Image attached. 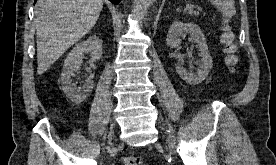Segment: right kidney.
<instances>
[{"label":"right kidney","mask_w":276,"mask_h":165,"mask_svg":"<svg viewBox=\"0 0 276 165\" xmlns=\"http://www.w3.org/2000/svg\"><path fill=\"white\" fill-rule=\"evenodd\" d=\"M89 52L93 59H100L102 56V41L96 35L89 37L86 41H82L69 52L61 74L62 89L66 96L75 104L82 103L93 89L92 78L85 80L82 87H76L72 83V78L80 69L84 53Z\"/></svg>","instance_id":"obj_1"}]
</instances>
